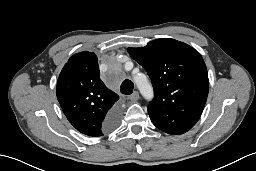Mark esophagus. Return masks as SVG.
Instances as JSON below:
<instances>
[{
    "mask_svg": "<svg viewBox=\"0 0 256 171\" xmlns=\"http://www.w3.org/2000/svg\"><path fill=\"white\" fill-rule=\"evenodd\" d=\"M139 99V93L135 91L133 94L129 96V100L132 102H136Z\"/></svg>",
    "mask_w": 256,
    "mask_h": 171,
    "instance_id": "esophagus-1",
    "label": "esophagus"
}]
</instances>
